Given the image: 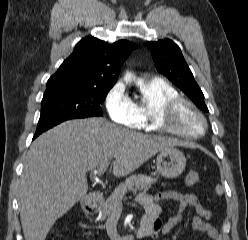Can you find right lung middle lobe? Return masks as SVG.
<instances>
[{"instance_id": "dd1d6c3e", "label": "right lung middle lobe", "mask_w": 248, "mask_h": 240, "mask_svg": "<svg viewBox=\"0 0 248 240\" xmlns=\"http://www.w3.org/2000/svg\"><path fill=\"white\" fill-rule=\"evenodd\" d=\"M110 89L59 88L45 91L39 122L102 116L100 105Z\"/></svg>"}]
</instances>
